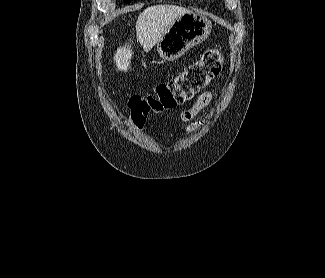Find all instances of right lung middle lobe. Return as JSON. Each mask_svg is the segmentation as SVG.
Instances as JSON below:
<instances>
[{"label":"right lung middle lobe","instance_id":"dd1d6c3e","mask_svg":"<svg viewBox=\"0 0 325 278\" xmlns=\"http://www.w3.org/2000/svg\"><path fill=\"white\" fill-rule=\"evenodd\" d=\"M130 1H132V0H124V2H130Z\"/></svg>","mask_w":325,"mask_h":278}]
</instances>
